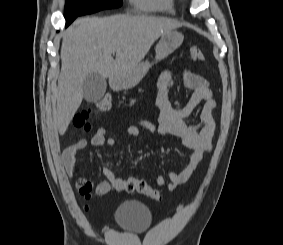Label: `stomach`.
<instances>
[{
    "label": "stomach",
    "mask_w": 283,
    "mask_h": 245,
    "mask_svg": "<svg viewBox=\"0 0 283 245\" xmlns=\"http://www.w3.org/2000/svg\"><path fill=\"white\" fill-rule=\"evenodd\" d=\"M183 35L176 31H170L161 36L156 46V62L166 58L175 51L183 42ZM153 63L149 61L140 62L134 68L112 78L114 87L118 89H129L136 86L146 75Z\"/></svg>",
    "instance_id": "obj_1"
}]
</instances>
